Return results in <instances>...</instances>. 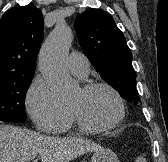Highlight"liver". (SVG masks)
Instances as JSON below:
<instances>
[{"instance_id": "6515ba94", "label": "liver", "mask_w": 168, "mask_h": 162, "mask_svg": "<svg viewBox=\"0 0 168 162\" xmlns=\"http://www.w3.org/2000/svg\"><path fill=\"white\" fill-rule=\"evenodd\" d=\"M100 149V145L87 139L41 135L0 124V162H30L38 154L41 162H69Z\"/></svg>"}]
</instances>
